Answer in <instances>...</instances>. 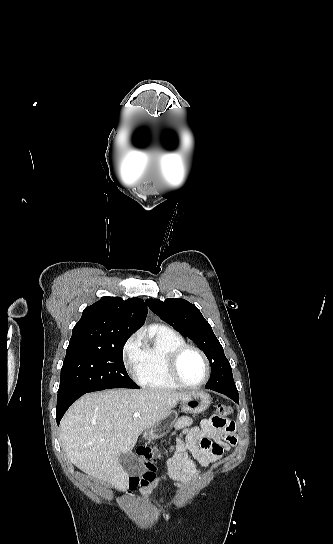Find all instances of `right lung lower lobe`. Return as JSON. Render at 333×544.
<instances>
[{
  "label": "right lung lower lobe",
  "mask_w": 333,
  "mask_h": 544,
  "mask_svg": "<svg viewBox=\"0 0 333 544\" xmlns=\"http://www.w3.org/2000/svg\"><path fill=\"white\" fill-rule=\"evenodd\" d=\"M85 393H87V391H76V390L58 391L57 413H56V421L58 425L64 413L69 408V406Z\"/></svg>",
  "instance_id": "obj_1"
}]
</instances>
